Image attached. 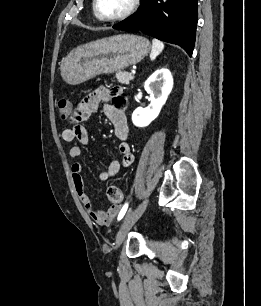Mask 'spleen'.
<instances>
[{
    "instance_id": "1",
    "label": "spleen",
    "mask_w": 261,
    "mask_h": 306,
    "mask_svg": "<svg viewBox=\"0 0 261 306\" xmlns=\"http://www.w3.org/2000/svg\"><path fill=\"white\" fill-rule=\"evenodd\" d=\"M163 49H164V43L157 39H153L150 59L152 61L155 60L156 57L163 51Z\"/></svg>"
}]
</instances>
